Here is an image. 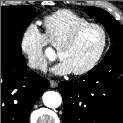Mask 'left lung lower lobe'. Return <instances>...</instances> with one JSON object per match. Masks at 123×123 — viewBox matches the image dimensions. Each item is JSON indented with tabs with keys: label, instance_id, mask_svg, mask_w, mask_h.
I'll list each match as a JSON object with an SVG mask.
<instances>
[{
	"label": "left lung lower lobe",
	"instance_id": "0a47b994",
	"mask_svg": "<svg viewBox=\"0 0 123 123\" xmlns=\"http://www.w3.org/2000/svg\"><path fill=\"white\" fill-rule=\"evenodd\" d=\"M63 123H123V54L102 60L76 81L60 82Z\"/></svg>",
	"mask_w": 123,
	"mask_h": 123
}]
</instances>
